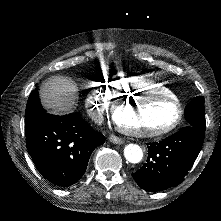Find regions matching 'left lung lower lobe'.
Returning <instances> with one entry per match:
<instances>
[{
  "instance_id": "left-lung-lower-lobe-1",
  "label": "left lung lower lobe",
  "mask_w": 221,
  "mask_h": 221,
  "mask_svg": "<svg viewBox=\"0 0 221 221\" xmlns=\"http://www.w3.org/2000/svg\"><path fill=\"white\" fill-rule=\"evenodd\" d=\"M204 141V131L193 126L156 143H147V162L133 174L146 191L164 190L179 185L196 160Z\"/></svg>"
}]
</instances>
